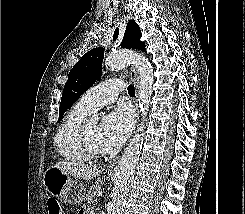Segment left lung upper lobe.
<instances>
[{"instance_id": "left-lung-upper-lobe-1", "label": "left lung upper lobe", "mask_w": 245, "mask_h": 214, "mask_svg": "<svg viewBox=\"0 0 245 214\" xmlns=\"http://www.w3.org/2000/svg\"><path fill=\"white\" fill-rule=\"evenodd\" d=\"M119 30L114 32L113 40L117 38ZM141 31L134 20H130L121 42L123 48H133L146 52L145 44L140 41ZM104 50L102 47L88 51L70 70L59 108V119H62L65 111L89 89L102 75V61Z\"/></svg>"}]
</instances>
